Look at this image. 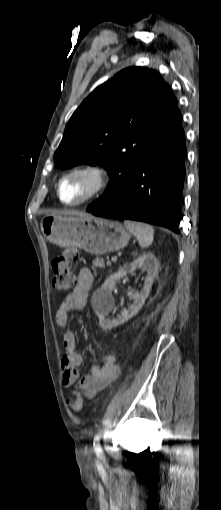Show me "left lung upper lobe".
Listing matches in <instances>:
<instances>
[{"instance_id":"left-lung-upper-lobe-1","label":"left lung upper lobe","mask_w":221,"mask_h":510,"mask_svg":"<svg viewBox=\"0 0 221 510\" xmlns=\"http://www.w3.org/2000/svg\"><path fill=\"white\" fill-rule=\"evenodd\" d=\"M170 86L158 72L130 67L97 87L76 109L54 154L62 168L101 164L110 176L102 206L129 184L145 156L183 132Z\"/></svg>"}]
</instances>
